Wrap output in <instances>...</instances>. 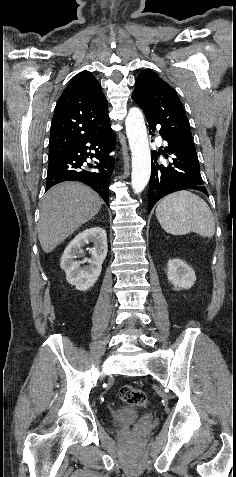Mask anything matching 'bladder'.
<instances>
[{
    "instance_id": "bladder-1",
    "label": "bladder",
    "mask_w": 236,
    "mask_h": 477,
    "mask_svg": "<svg viewBox=\"0 0 236 477\" xmlns=\"http://www.w3.org/2000/svg\"><path fill=\"white\" fill-rule=\"evenodd\" d=\"M132 405L128 406H122L113 411L111 414V423L112 424H120V423H126V422H131L136 419L137 414L133 410Z\"/></svg>"
}]
</instances>
